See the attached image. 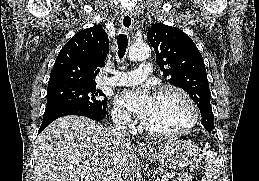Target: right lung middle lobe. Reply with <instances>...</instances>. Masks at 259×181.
<instances>
[{"label": "right lung middle lobe", "instance_id": "obj_1", "mask_svg": "<svg viewBox=\"0 0 259 181\" xmlns=\"http://www.w3.org/2000/svg\"><path fill=\"white\" fill-rule=\"evenodd\" d=\"M100 97H104L101 99ZM107 98L96 84L61 83L48 86L47 105L44 116L57 109L69 106H81L94 110H104Z\"/></svg>", "mask_w": 259, "mask_h": 181}]
</instances>
